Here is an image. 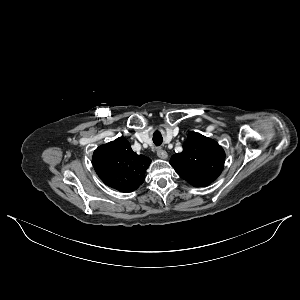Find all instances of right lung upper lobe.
Listing matches in <instances>:
<instances>
[{"mask_svg":"<svg viewBox=\"0 0 300 300\" xmlns=\"http://www.w3.org/2000/svg\"><path fill=\"white\" fill-rule=\"evenodd\" d=\"M100 179L120 192H131L144 182V174L151 160L137 155L124 138H117L98 147L92 159Z\"/></svg>","mask_w":300,"mask_h":300,"instance_id":"cb5924a9","label":"right lung upper lobe"}]
</instances>
